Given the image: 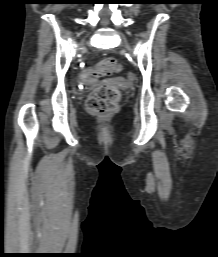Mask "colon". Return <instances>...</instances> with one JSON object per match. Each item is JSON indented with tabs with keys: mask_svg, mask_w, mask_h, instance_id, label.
Returning <instances> with one entry per match:
<instances>
[{
	"mask_svg": "<svg viewBox=\"0 0 218 257\" xmlns=\"http://www.w3.org/2000/svg\"><path fill=\"white\" fill-rule=\"evenodd\" d=\"M85 70V71H84ZM82 69V72H77L78 83H83V87H92V82L88 79H94L118 73L122 70V61H117L113 57H108L100 61L91 69ZM84 71V72H83ZM127 79H135L136 75L131 74V70H126ZM120 93L116 87L100 86L93 90L88 96L86 105L87 109L95 115H108L114 112L119 104Z\"/></svg>",
	"mask_w": 218,
	"mask_h": 257,
	"instance_id": "5ec220e1",
	"label": "colon"
}]
</instances>
